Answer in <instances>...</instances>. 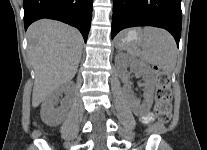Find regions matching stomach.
Segmentation results:
<instances>
[{
  "mask_svg": "<svg viewBox=\"0 0 207 150\" xmlns=\"http://www.w3.org/2000/svg\"><path fill=\"white\" fill-rule=\"evenodd\" d=\"M140 39V33L135 30H128L121 33L116 39L118 49H127L129 46L137 44Z\"/></svg>",
  "mask_w": 207,
  "mask_h": 150,
  "instance_id": "stomach-1",
  "label": "stomach"
}]
</instances>
